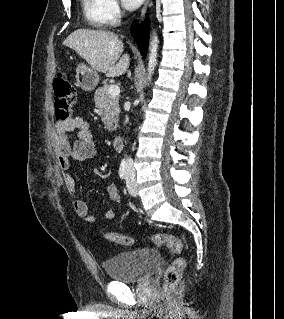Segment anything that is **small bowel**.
<instances>
[{
    "label": "small bowel",
    "instance_id": "obj_1",
    "mask_svg": "<svg viewBox=\"0 0 284 319\" xmlns=\"http://www.w3.org/2000/svg\"><path fill=\"white\" fill-rule=\"evenodd\" d=\"M75 140H72L73 134ZM54 147L57 154L58 165L63 172V182L66 188L75 193V180L70 174L71 162L85 161L96 155V147L89 130L88 123L82 117H73L65 122H56L54 129ZM107 193L110 199L119 203L120 196L116 184H109ZM77 216L86 222L93 223L96 218L91 214L87 203L82 199L73 202ZM117 215V208L112 206L105 212L106 219L112 220Z\"/></svg>",
    "mask_w": 284,
    "mask_h": 319
}]
</instances>
